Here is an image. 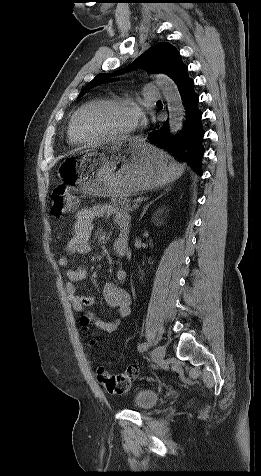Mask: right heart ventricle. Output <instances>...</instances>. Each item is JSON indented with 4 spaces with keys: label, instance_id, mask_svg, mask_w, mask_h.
<instances>
[{
    "label": "right heart ventricle",
    "instance_id": "e07e8e85",
    "mask_svg": "<svg viewBox=\"0 0 261 476\" xmlns=\"http://www.w3.org/2000/svg\"><path fill=\"white\" fill-rule=\"evenodd\" d=\"M67 138L68 141L71 145H79L80 142L75 138L72 128H71V122L69 123L68 130H67Z\"/></svg>",
    "mask_w": 261,
    "mask_h": 476
}]
</instances>
